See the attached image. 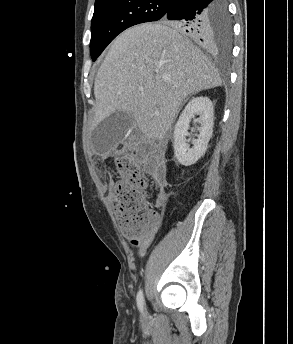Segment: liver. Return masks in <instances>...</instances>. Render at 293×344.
I'll list each match as a JSON object with an SVG mask.
<instances>
[{"label": "liver", "mask_w": 293, "mask_h": 344, "mask_svg": "<svg viewBox=\"0 0 293 344\" xmlns=\"http://www.w3.org/2000/svg\"><path fill=\"white\" fill-rule=\"evenodd\" d=\"M176 28L142 24L114 40L95 78L94 126L125 111L145 137L161 140L189 95L221 85L215 66Z\"/></svg>", "instance_id": "6515ba94"}]
</instances>
